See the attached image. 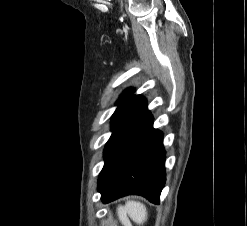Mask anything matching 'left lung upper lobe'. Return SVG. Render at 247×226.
Wrapping results in <instances>:
<instances>
[{"label":"left lung upper lobe","mask_w":247,"mask_h":226,"mask_svg":"<svg viewBox=\"0 0 247 226\" xmlns=\"http://www.w3.org/2000/svg\"><path fill=\"white\" fill-rule=\"evenodd\" d=\"M133 94L132 89H128L122 93V95L119 98V101L117 102L118 108L116 112L121 108V106L126 102V100ZM115 112V113H116Z\"/></svg>","instance_id":"1"}]
</instances>
